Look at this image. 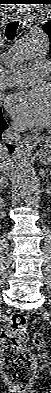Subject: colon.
Masks as SVG:
<instances>
[{"label":"colon","instance_id":"1","mask_svg":"<svg viewBox=\"0 0 51 393\" xmlns=\"http://www.w3.org/2000/svg\"><path fill=\"white\" fill-rule=\"evenodd\" d=\"M26 326V316L15 313L1 332L2 373L17 393L28 392L36 372L35 358L26 347ZM32 344L37 349L43 348V334H34Z\"/></svg>","mask_w":51,"mask_h":393}]
</instances>
